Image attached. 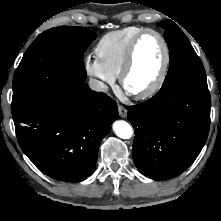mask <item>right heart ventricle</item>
<instances>
[{
  "instance_id": "obj_1",
  "label": "right heart ventricle",
  "mask_w": 221,
  "mask_h": 221,
  "mask_svg": "<svg viewBox=\"0 0 221 221\" xmlns=\"http://www.w3.org/2000/svg\"><path fill=\"white\" fill-rule=\"evenodd\" d=\"M144 29L138 26H128L113 30L104 34L96 44V57L115 77L120 74L130 42Z\"/></svg>"
}]
</instances>
